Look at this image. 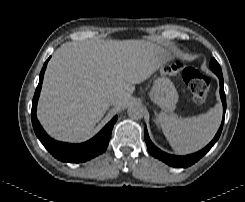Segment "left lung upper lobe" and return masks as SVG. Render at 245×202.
Returning <instances> with one entry per match:
<instances>
[{"label":"left lung upper lobe","mask_w":245,"mask_h":202,"mask_svg":"<svg viewBox=\"0 0 245 202\" xmlns=\"http://www.w3.org/2000/svg\"><path fill=\"white\" fill-rule=\"evenodd\" d=\"M209 67L215 74H222L221 67L218 64V62L215 60V58L211 59Z\"/></svg>","instance_id":"5c2ea615"}]
</instances>
